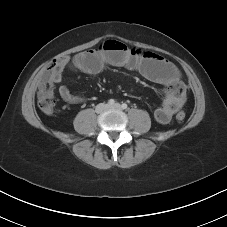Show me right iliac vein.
<instances>
[{
	"label": "right iliac vein",
	"instance_id": "63e3f726",
	"mask_svg": "<svg viewBox=\"0 0 227 227\" xmlns=\"http://www.w3.org/2000/svg\"><path fill=\"white\" fill-rule=\"evenodd\" d=\"M108 108V105L101 103L99 105H97L96 107V112L97 113H102L103 111H105Z\"/></svg>",
	"mask_w": 227,
	"mask_h": 227
}]
</instances>
